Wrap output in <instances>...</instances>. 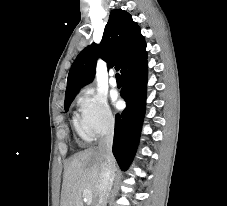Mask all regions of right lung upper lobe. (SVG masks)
<instances>
[{"label": "right lung upper lobe", "mask_w": 227, "mask_h": 206, "mask_svg": "<svg viewBox=\"0 0 227 206\" xmlns=\"http://www.w3.org/2000/svg\"><path fill=\"white\" fill-rule=\"evenodd\" d=\"M98 57L108 68L120 64L122 74L147 57L141 29L126 11L112 10L100 44L92 43L77 56L68 74L65 98L76 96L93 80Z\"/></svg>", "instance_id": "1"}]
</instances>
